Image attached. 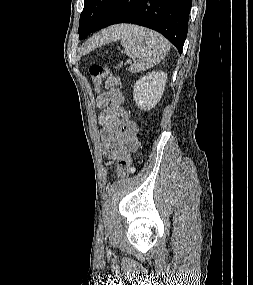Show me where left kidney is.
<instances>
[{
    "instance_id": "obj_1",
    "label": "left kidney",
    "mask_w": 253,
    "mask_h": 285,
    "mask_svg": "<svg viewBox=\"0 0 253 285\" xmlns=\"http://www.w3.org/2000/svg\"><path fill=\"white\" fill-rule=\"evenodd\" d=\"M166 81L167 73L162 71H153L140 78L134 85L133 93L137 107L141 110L152 109L160 101Z\"/></svg>"
}]
</instances>
